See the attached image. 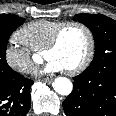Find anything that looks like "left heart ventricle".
I'll use <instances>...</instances> for the list:
<instances>
[{"mask_svg":"<svg viewBox=\"0 0 116 116\" xmlns=\"http://www.w3.org/2000/svg\"><path fill=\"white\" fill-rule=\"evenodd\" d=\"M87 50V34L79 27H70L63 33L58 46L44 53V58L54 59L68 70L83 61Z\"/></svg>","mask_w":116,"mask_h":116,"instance_id":"left-heart-ventricle-1","label":"left heart ventricle"}]
</instances>
